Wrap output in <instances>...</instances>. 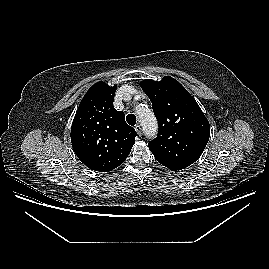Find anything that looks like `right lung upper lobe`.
<instances>
[{
  "label": "right lung upper lobe",
  "instance_id": "obj_1",
  "mask_svg": "<svg viewBox=\"0 0 269 269\" xmlns=\"http://www.w3.org/2000/svg\"><path fill=\"white\" fill-rule=\"evenodd\" d=\"M116 85L95 83L82 99L71 127L72 147L87 167L109 172L129 155L137 136L113 107Z\"/></svg>",
  "mask_w": 269,
  "mask_h": 269
}]
</instances>
